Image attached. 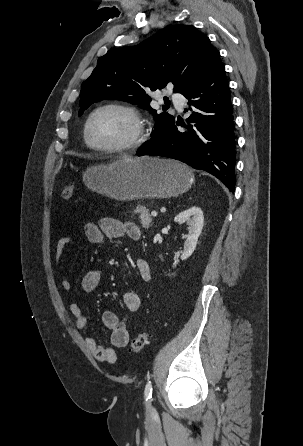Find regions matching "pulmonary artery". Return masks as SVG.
Listing matches in <instances>:
<instances>
[{"label":"pulmonary artery","mask_w":303,"mask_h":446,"mask_svg":"<svg viewBox=\"0 0 303 446\" xmlns=\"http://www.w3.org/2000/svg\"><path fill=\"white\" fill-rule=\"evenodd\" d=\"M172 100L174 101L175 105L179 110L183 108L185 103V98L181 94L179 93L172 94Z\"/></svg>","instance_id":"1"}]
</instances>
